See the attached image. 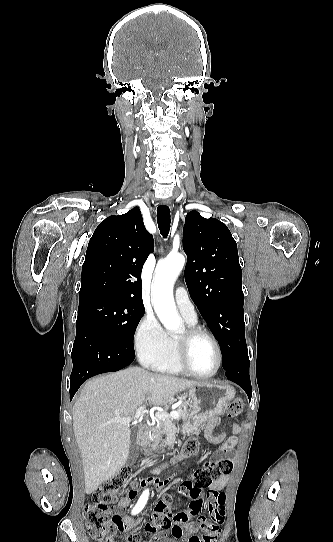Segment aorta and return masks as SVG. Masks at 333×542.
Segmentation results:
<instances>
[{"label": "aorta", "mask_w": 333, "mask_h": 542, "mask_svg": "<svg viewBox=\"0 0 333 542\" xmlns=\"http://www.w3.org/2000/svg\"><path fill=\"white\" fill-rule=\"evenodd\" d=\"M185 258L182 254L167 256L164 262L157 264L152 286L154 310L166 330H181V318L176 310L173 298V284L177 280Z\"/></svg>", "instance_id": "1"}]
</instances>
